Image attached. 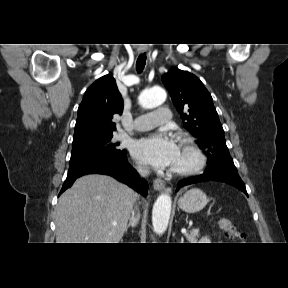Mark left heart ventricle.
I'll use <instances>...</instances> for the list:
<instances>
[{
    "mask_svg": "<svg viewBox=\"0 0 288 288\" xmlns=\"http://www.w3.org/2000/svg\"><path fill=\"white\" fill-rule=\"evenodd\" d=\"M178 149V156L173 167H180L190 163V157L188 156L186 151L181 146H179Z\"/></svg>",
    "mask_w": 288,
    "mask_h": 288,
    "instance_id": "1",
    "label": "left heart ventricle"
}]
</instances>
